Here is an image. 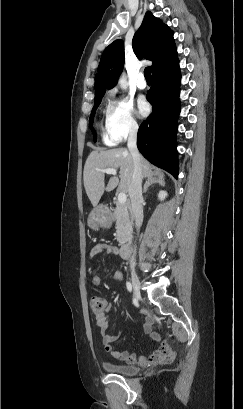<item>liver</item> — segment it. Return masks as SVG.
I'll list each match as a JSON object with an SVG mask.
<instances>
[{
    "instance_id": "obj_1",
    "label": "liver",
    "mask_w": 243,
    "mask_h": 409,
    "mask_svg": "<svg viewBox=\"0 0 243 409\" xmlns=\"http://www.w3.org/2000/svg\"><path fill=\"white\" fill-rule=\"evenodd\" d=\"M141 157V156H140ZM143 177L158 175L152 171L151 164L141 157ZM133 159L127 149L117 148L109 150H94L88 156L83 172V180L86 194L93 207H96L104 191H112L117 187L118 192H129L133 176ZM119 169V178L111 177L105 187L103 169Z\"/></svg>"
}]
</instances>
